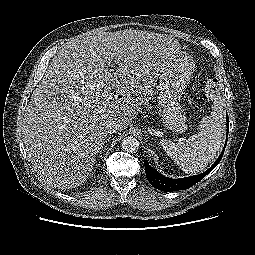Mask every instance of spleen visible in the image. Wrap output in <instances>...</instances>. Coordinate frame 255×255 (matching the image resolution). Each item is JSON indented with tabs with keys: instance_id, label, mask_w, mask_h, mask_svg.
<instances>
[{
	"instance_id": "spleen-1",
	"label": "spleen",
	"mask_w": 255,
	"mask_h": 255,
	"mask_svg": "<svg viewBox=\"0 0 255 255\" xmlns=\"http://www.w3.org/2000/svg\"><path fill=\"white\" fill-rule=\"evenodd\" d=\"M202 128L182 144L166 139L160 141L167 154L185 173H198L214 161L225 137L223 112H214L203 121Z\"/></svg>"
}]
</instances>
